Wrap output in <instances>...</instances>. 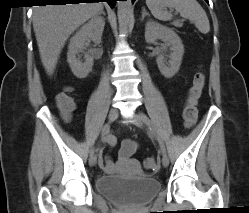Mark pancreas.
Here are the masks:
<instances>
[{
	"instance_id": "obj_1",
	"label": "pancreas",
	"mask_w": 249,
	"mask_h": 213,
	"mask_svg": "<svg viewBox=\"0 0 249 213\" xmlns=\"http://www.w3.org/2000/svg\"><path fill=\"white\" fill-rule=\"evenodd\" d=\"M173 25L175 26V27H182L183 26V23L181 22V21H175V22H173Z\"/></svg>"
}]
</instances>
